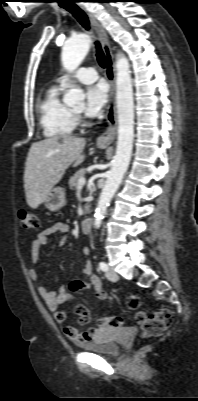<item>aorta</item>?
<instances>
[{"label":"aorta","instance_id":"762f6f07","mask_svg":"<svg viewBox=\"0 0 198 401\" xmlns=\"http://www.w3.org/2000/svg\"><path fill=\"white\" fill-rule=\"evenodd\" d=\"M91 40L86 34L73 37L65 42L62 49V64L68 71L75 70L83 61L90 48ZM116 103L118 114V140L112 167L108 172L94 215V226L99 227L111 199L118 190L128 169L134 138V100L130 64L125 55L116 60ZM84 100L81 89L71 87L64 95V103L72 106Z\"/></svg>","mask_w":198,"mask_h":401}]
</instances>
